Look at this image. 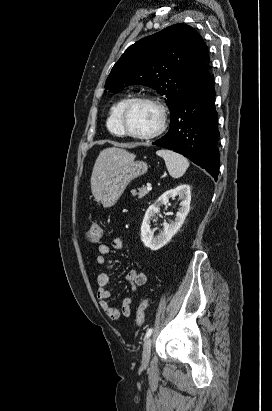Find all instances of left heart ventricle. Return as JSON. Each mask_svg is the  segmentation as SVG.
I'll use <instances>...</instances> for the list:
<instances>
[{
    "label": "left heart ventricle",
    "instance_id": "obj_1",
    "mask_svg": "<svg viewBox=\"0 0 272 411\" xmlns=\"http://www.w3.org/2000/svg\"><path fill=\"white\" fill-rule=\"evenodd\" d=\"M158 124V110L147 103L132 105L125 117L126 128L135 134L151 133L157 128Z\"/></svg>",
    "mask_w": 272,
    "mask_h": 411
}]
</instances>
